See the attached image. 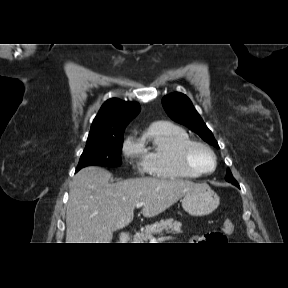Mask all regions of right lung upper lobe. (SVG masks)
I'll use <instances>...</instances> for the list:
<instances>
[{
    "mask_svg": "<svg viewBox=\"0 0 288 288\" xmlns=\"http://www.w3.org/2000/svg\"><path fill=\"white\" fill-rule=\"evenodd\" d=\"M139 111L138 103L117 98L107 100L93 120L87 141L124 132L125 127Z\"/></svg>",
    "mask_w": 288,
    "mask_h": 288,
    "instance_id": "1",
    "label": "right lung upper lobe"
}]
</instances>
